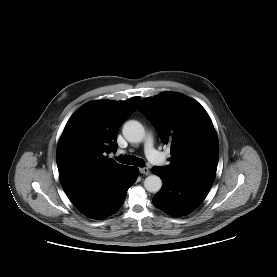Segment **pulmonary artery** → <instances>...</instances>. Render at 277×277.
I'll list each match as a JSON object with an SVG mask.
<instances>
[{"label": "pulmonary artery", "instance_id": "pulmonary-artery-1", "mask_svg": "<svg viewBox=\"0 0 277 277\" xmlns=\"http://www.w3.org/2000/svg\"><path fill=\"white\" fill-rule=\"evenodd\" d=\"M145 154L149 161L154 164L161 165L165 163V159L162 154L154 148L151 135H148L145 140Z\"/></svg>", "mask_w": 277, "mask_h": 277}]
</instances>
